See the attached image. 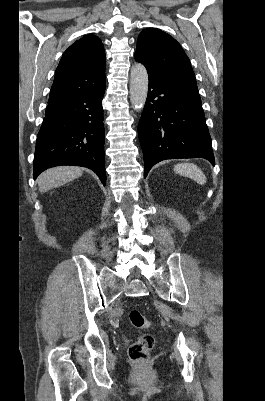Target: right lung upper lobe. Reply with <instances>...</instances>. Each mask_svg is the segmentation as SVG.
Returning <instances> with one entry per match:
<instances>
[{
  "mask_svg": "<svg viewBox=\"0 0 265 401\" xmlns=\"http://www.w3.org/2000/svg\"><path fill=\"white\" fill-rule=\"evenodd\" d=\"M105 68V51L101 40L94 35L77 40L63 53L48 103L103 88L106 85Z\"/></svg>",
  "mask_w": 265,
  "mask_h": 401,
  "instance_id": "obj_1",
  "label": "right lung upper lobe"
}]
</instances>
